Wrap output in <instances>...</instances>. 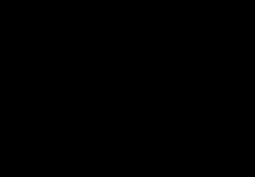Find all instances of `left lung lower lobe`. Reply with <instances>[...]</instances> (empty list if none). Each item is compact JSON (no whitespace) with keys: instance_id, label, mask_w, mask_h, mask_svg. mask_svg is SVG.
Returning <instances> with one entry per match:
<instances>
[{"instance_id":"1","label":"left lung lower lobe","mask_w":255,"mask_h":177,"mask_svg":"<svg viewBox=\"0 0 255 177\" xmlns=\"http://www.w3.org/2000/svg\"><path fill=\"white\" fill-rule=\"evenodd\" d=\"M158 107L160 108L162 114L159 117V133L161 134H169L172 131L173 124L177 117L180 114V111L176 106L165 104L159 102Z\"/></svg>"}]
</instances>
